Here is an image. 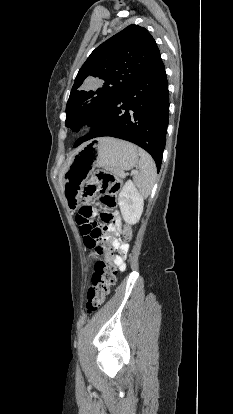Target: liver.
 Returning <instances> with one entry per match:
<instances>
[{"instance_id": "liver-1", "label": "liver", "mask_w": 233, "mask_h": 414, "mask_svg": "<svg viewBox=\"0 0 233 414\" xmlns=\"http://www.w3.org/2000/svg\"><path fill=\"white\" fill-rule=\"evenodd\" d=\"M84 146V145H83ZM83 146L82 147H80L79 149H77L74 153H72V155L68 158V160H67V162H66V164H65V166H64V168H63V170H62V172L60 173V175H59V182H60V185H61V188L63 189V185H64V179H63V176H64V174H65V172H66V170L68 169V167H69V165H70V163H71V161H72V159H73V157L83 148Z\"/></svg>"}]
</instances>
